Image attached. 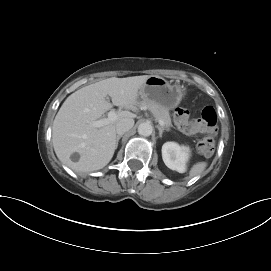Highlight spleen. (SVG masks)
Instances as JSON below:
<instances>
[{
	"label": "spleen",
	"mask_w": 271,
	"mask_h": 271,
	"mask_svg": "<svg viewBox=\"0 0 271 271\" xmlns=\"http://www.w3.org/2000/svg\"><path fill=\"white\" fill-rule=\"evenodd\" d=\"M206 167H207L206 162H199L194 164L189 172V178L202 174Z\"/></svg>",
	"instance_id": "spleen-1"
}]
</instances>
